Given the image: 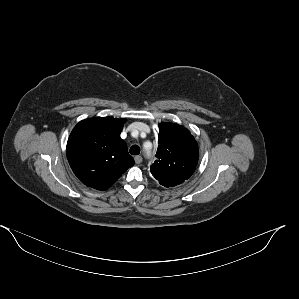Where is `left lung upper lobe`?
<instances>
[{
  "instance_id": "obj_1",
  "label": "left lung upper lobe",
  "mask_w": 299,
  "mask_h": 299,
  "mask_svg": "<svg viewBox=\"0 0 299 299\" xmlns=\"http://www.w3.org/2000/svg\"><path fill=\"white\" fill-rule=\"evenodd\" d=\"M157 160L150 172L160 181L187 180L194 173L199 157L197 142L183 126L159 124Z\"/></svg>"
}]
</instances>
